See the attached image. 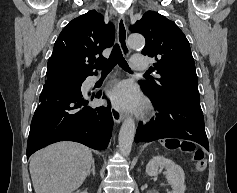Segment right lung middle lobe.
<instances>
[{
  "label": "right lung middle lobe",
  "instance_id": "1",
  "mask_svg": "<svg viewBox=\"0 0 237 193\" xmlns=\"http://www.w3.org/2000/svg\"><path fill=\"white\" fill-rule=\"evenodd\" d=\"M49 77H55L57 79L67 81L70 84H73V85H76V86H80L83 79H84V78H78V77L70 76L68 74H65V73H63L61 71H57V70L47 71V78H49Z\"/></svg>",
  "mask_w": 237,
  "mask_h": 193
}]
</instances>
